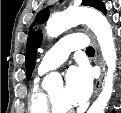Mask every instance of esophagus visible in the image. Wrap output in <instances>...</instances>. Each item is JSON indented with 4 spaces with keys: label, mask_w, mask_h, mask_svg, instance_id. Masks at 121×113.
I'll return each instance as SVG.
<instances>
[{
    "label": "esophagus",
    "mask_w": 121,
    "mask_h": 113,
    "mask_svg": "<svg viewBox=\"0 0 121 113\" xmlns=\"http://www.w3.org/2000/svg\"><path fill=\"white\" fill-rule=\"evenodd\" d=\"M96 56H97V61H98V64L101 68V75L99 77V79L96 81L95 83V90H94V95H93V98L96 97V95L98 94L99 92V89H100V85H101V82H102V78H103V74H104V65H103V60H102V57L100 55V51H99V48H98V45L96 44Z\"/></svg>",
    "instance_id": "esophagus-1"
}]
</instances>
